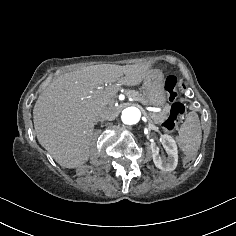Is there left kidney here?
Returning <instances> with one entry per match:
<instances>
[{"label":"left kidney","mask_w":236,"mask_h":236,"mask_svg":"<svg viewBox=\"0 0 236 236\" xmlns=\"http://www.w3.org/2000/svg\"><path fill=\"white\" fill-rule=\"evenodd\" d=\"M162 144L168 157L160 156L159 147L155 142L151 143L154 164L161 170L172 171L176 168L178 163V150L176 142L170 135L164 134L162 137Z\"/></svg>","instance_id":"5707ae66"}]
</instances>
